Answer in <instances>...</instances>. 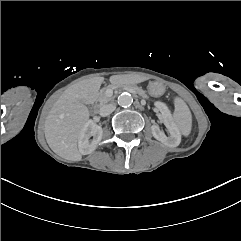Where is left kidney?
Here are the masks:
<instances>
[{
  "label": "left kidney",
  "mask_w": 241,
  "mask_h": 241,
  "mask_svg": "<svg viewBox=\"0 0 241 241\" xmlns=\"http://www.w3.org/2000/svg\"><path fill=\"white\" fill-rule=\"evenodd\" d=\"M156 106L161 111V114L158 118V123L164 124L168 137L161 132L158 125H152L151 132L153 137L169 148L177 147L181 141L179 131L171 120L170 114L166 110V107L162 103H156Z\"/></svg>",
  "instance_id": "1"
}]
</instances>
